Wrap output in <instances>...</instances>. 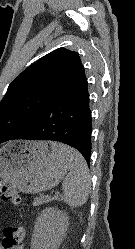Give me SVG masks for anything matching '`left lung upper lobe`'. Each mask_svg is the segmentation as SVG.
Listing matches in <instances>:
<instances>
[{
  "label": "left lung upper lobe",
  "instance_id": "5c2ea615",
  "mask_svg": "<svg viewBox=\"0 0 135 249\" xmlns=\"http://www.w3.org/2000/svg\"><path fill=\"white\" fill-rule=\"evenodd\" d=\"M79 54L58 48L26 68L0 102V143L31 129L38 112L86 80Z\"/></svg>",
  "mask_w": 135,
  "mask_h": 249
}]
</instances>
